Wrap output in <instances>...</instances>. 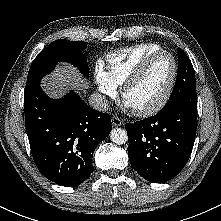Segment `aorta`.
Instances as JSON below:
<instances>
[{
  "label": "aorta",
  "instance_id": "obj_1",
  "mask_svg": "<svg viewBox=\"0 0 221 221\" xmlns=\"http://www.w3.org/2000/svg\"><path fill=\"white\" fill-rule=\"evenodd\" d=\"M110 139L113 143L122 145L127 142L128 135L126 130L122 128H114L111 130Z\"/></svg>",
  "mask_w": 221,
  "mask_h": 221
}]
</instances>
